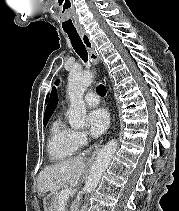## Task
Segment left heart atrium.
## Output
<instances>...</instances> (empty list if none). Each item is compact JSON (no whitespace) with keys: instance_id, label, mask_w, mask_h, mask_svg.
Returning <instances> with one entry per match:
<instances>
[{"instance_id":"39dd6f15","label":"left heart atrium","mask_w":179,"mask_h":211,"mask_svg":"<svg viewBox=\"0 0 179 211\" xmlns=\"http://www.w3.org/2000/svg\"><path fill=\"white\" fill-rule=\"evenodd\" d=\"M88 130L91 136H101L109 126V115L102 109H94L87 115Z\"/></svg>"}]
</instances>
